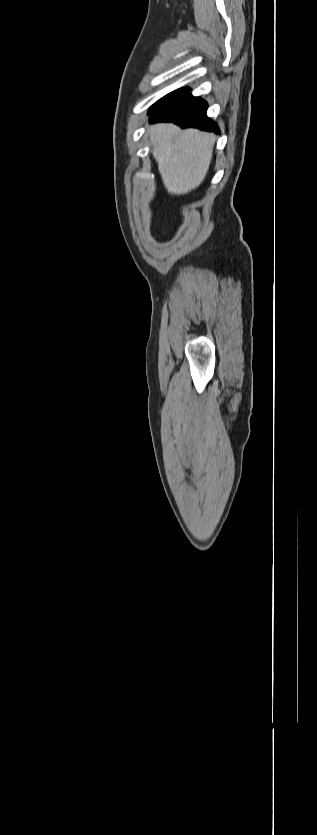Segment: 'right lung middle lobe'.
Listing matches in <instances>:
<instances>
[{
    "label": "right lung middle lobe",
    "mask_w": 317,
    "mask_h": 835,
    "mask_svg": "<svg viewBox=\"0 0 317 835\" xmlns=\"http://www.w3.org/2000/svg\"><path fill=\"white\" fill-rule=\"evenodd\" d=\"M189 91H190V89H189V88H184V89H178V90H176V91H174V92L169 93L168 95H166V96H164L163 98H161L160 100H158V101H157V102H156V103H155V104H154V105L150 108V111L156 110V109H158V108H160V107L164 106L165 104H167V103H169V102H171V101H173V100H175V99H177V98H179V97H181V96L185 95V94H186V93H188Z\"/></svg>",
    "instance_id": "right-lung-middle-lobe-1"
}]
</instances>
